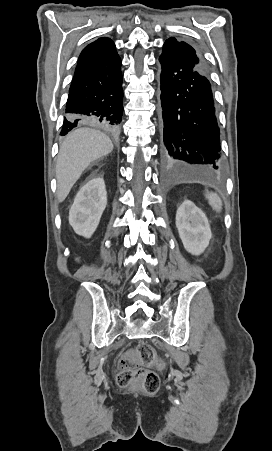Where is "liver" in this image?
<instances>
[{
	"label": "liver",
	"instance_id": "obj_1",
	"mask_svg": "<svg viewBox=\"0 0 272 451\" xmlns=\"http://www.w3.org/2000/svg\"><path fill=\"white\" fill-rule=\"evenodd\" d=\"M113 150V144L100 130L78 128L66 136L60 146L57 164V198L64 202L72 186L91 162L107 156Z\"/></svg>",
	"mask_w": 272,
	"mask_h": 451
}]
</instances>
